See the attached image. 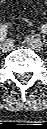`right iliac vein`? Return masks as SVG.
<instances>
[{"mask_svg":"<svg viewBox=\"0 0 47 129\" xmlns=\"http://www.w3.org/2000/svg\"><path fill=\"white\" fill-rule=\"evenodd\" d=\"M13 48V41L11 39H7L1 43V49L3 52H8Z\"/></svg>","mask_w":47,"mask_h":129,"instance_id":"63e3f726","label":"right iliac vein"}]
</instances>
